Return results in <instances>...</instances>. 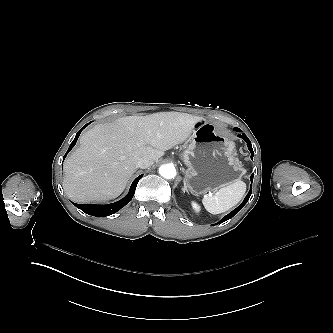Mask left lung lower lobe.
<instances>
[{
	"label": "left lung lower lobe",
	"mask_w": 333,
	"mask_h": 333,
	"mask_svg": "<svg viewBox=\"0 0 333 333\" xmlns=\"http://www.w3.org/2000/svg\"><path fill=\"white\" fill-rule=\"evenodd\" d=\"M234 130L241 131L239 128H234ZM238 136L246 141L248 149L251 152V157H252L254 153H253V149H252V145H251L250 140L248 139V137L245 134H241V135H238ZM250 179H251V186H252L253 175H251ZM251 193H252V188H250V190H249L248 194L246 195L245 199L243 200V202L236 209H234L231 213H229L228 215L223 217L218 223H223V222L231 219L234 215H236L245 206V204L248 202V200L251 196Z\"/></svg>",
	"instance_id": "0a47b994"
}]
</instances>
